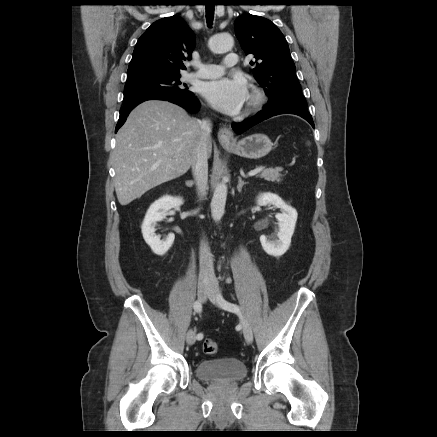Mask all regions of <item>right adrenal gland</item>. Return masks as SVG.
<instances>
[{
    "instance_id": "right-adrenal-gland-1",
    "label": "right adrenal gland",
    "mask_w": 437,
    "mask_h": 437,
    "mask_svg": "<svg viewBox=\"0 0 437 437\" xmlns=\"http://www.w3.org/2000/svg\"><path fill=\"white\" fill-rule=\"evenodd\" d=\"M186 185L188 187H192L193 186V181H186Z\"/></svg>"
}]
</instances>
